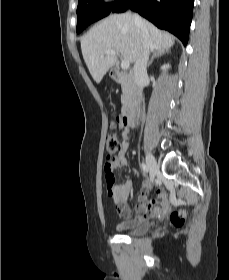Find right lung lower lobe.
Returning a JSON list of instances; mask_svg holds the SVG:
<instances>
[{
  "label": "right lung lower lobe",
  "mask_w": 229,
  "mask_h": 280,
  "mask_svg": "<svg viewBox=\"0 0 229 280\" xmlns=\"http://www.w3.org/2000/svg\"><path fill=\"white\" fill-rule=\"evenodd\" d=\"M194 0H119L113 12H138L160 29L168 30L187 44Z\"/></svg>",
  "instance_id": "1"
}]
</instances>
